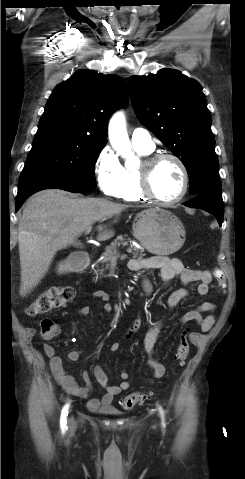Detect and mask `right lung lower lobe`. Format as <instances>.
I'll list each match as a JSON object with an SVG mask.
<instances>
[{"instance_id":"obj_1","label":"right lung lower lobe","mask_w":245,"mask_h":479,"mask_svg":"<svg viewBox=\"0 0 245 479\" xmlns=\"http://www.w3.org/2000/svg\"><path fill=\"white\" fill-rule=\"evenodd\" d=\"M43 189H62L73 193H83L91 190L89 187L54 178H41L27 181L19 185L16 198V211L19 210L29 196Z\"/></svg>"}]
</instances>
